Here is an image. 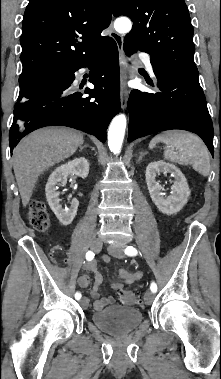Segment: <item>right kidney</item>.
Segmentation results:
<instances>
[{
  "label": "right kidney",
  "instance_id": "right-kidney-1",
  "mask_svg": "<svg viewBox=\"0 0 221 379\" xmlns=\"http://www.w3.org/2000/svg\"><path fill=\"white\" fill-rule=\"evenodd\" d=\"M88 173L89 163L86 158L80 157L57 167L49 176L45 188L46 199L51 210L54 212L59 222L64 226L71 224L74 220L79 202L74 198L70 202V207L65 209L62 208L59 199L60 192L57 191L58 185L65 186L70 174L86 178Z\"/></svg>",
  "mask_w": 221,
  "mask_h": 379
}]
</instances>
